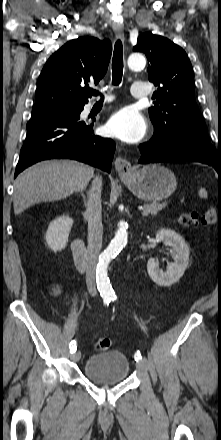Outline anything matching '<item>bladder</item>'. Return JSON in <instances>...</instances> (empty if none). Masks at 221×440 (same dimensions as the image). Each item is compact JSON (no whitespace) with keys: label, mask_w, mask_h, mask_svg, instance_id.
<instances>
[{"label":"bladder","mask_w":221,"mask_h":440,"mask_svg":"<svg viewBox=\"0 0 221 440\" xmlns=\"http://www.w3.org/2000/svg\"><path fill=\"white\" fill-rule=\"evenodd\" d=\"M130 370L127 356L119 350L95 354L87 359L84 375L96 383H120Z\"/></svg>","instance_id":"obj_1"}]
</instances>
